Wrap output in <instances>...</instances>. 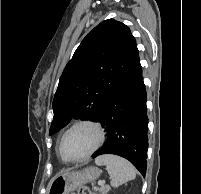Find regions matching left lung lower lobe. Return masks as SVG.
<instances>
[{
	"mask_svg": "<svg viewBox=\"0 0 201 194\" xmlns=\"http://www.w3.org/2000/svg\"><path fill=\"white\" fill-rule=\"evenodd\" d=\"M147 93L139 56L117 89L99 111L96 120L102 122L107 141L93 158L115 154L129 160L145 176L148 150Z\"/></svg>",
	"mask_w": 201,
	"mask_h": 194,
	"instance_id": "left-lung-lower-lobe-1",
	"label": "left lung lower lobe"
}]
</instances>
